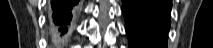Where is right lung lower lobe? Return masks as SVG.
Listing matches in <instances>:
<instances>
[{
    "label": "right lung lower lobe",
    "mask_w": 213,
    "mask_h": 48,
    "mask_svg": "<svg viewBox=\"0 0 213 48\" xmlns=\"http://www.w3.org/2000/svg\"><path fill=\"white\" fill-rule=\"evenodd\" d=\"M78 3V0H52V10H53V21L55 24L60 25V31L65 33L67 28L65 27L71 17L72 10L74 6Z\"/></svg>",
    "instance_id": "98d812e1"
}]
</instances>
